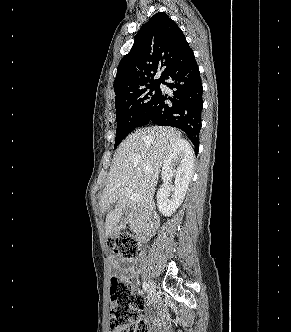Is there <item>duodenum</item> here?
Instances as JSON below:
<instances>
[{
    "label": "duodenum",
    "instance_id": "1",
    "mask_svg": "<svg viewBox=\"0 0 291 332\" xmlns=\"http://www.w3.org/2000/svg\"><path fill=\"white\" fill-rule=\"evenodd\" d=\"M159 225V218L155 214H147L141 217L137 236L141 243L146 242L155 232Z\"/></svg>",
    "mask_w": 291,
    "mask_h": 332
}]
</instances>
